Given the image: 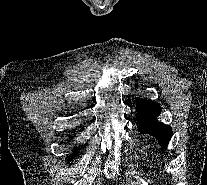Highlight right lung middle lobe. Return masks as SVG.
I'll list each match as a JSON object with an SVG mask.
<instances>
[{"instance_id":"dd1d6c3e","label":"right lung middle lobe","mask_w":207,"mask_h":185,"mask_svg":"<svg viewBox=\"0 0 207 185\" xmlns=\"http://www.w3.org/2000/svg\"><path fill=\"white\" fill-rule=\"evenodd\" d=\"M77 154H78V152L73 153L69 158H74Z\"/></svg>"}]
</instances>
